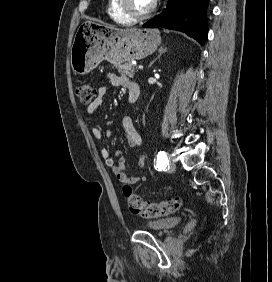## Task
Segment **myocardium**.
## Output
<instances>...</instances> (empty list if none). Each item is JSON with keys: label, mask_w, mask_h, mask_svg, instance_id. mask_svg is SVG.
<instances>
[{"label": "myocardium", "mask_w": 272, "mask_h": 282, "mask_svg": "<svg viewBox=\"0 0 272 282\" xmlns=\"http://www.w3.org/2000/svg\"><path fill=\"white\" fill-rule=\"evenodd\" d=\"M119 9L131 20H141L149 17L156 9L157 0H154L151 8L143 13L136 12L131 5L130 0H118Z\"/></svg>", "instance_id": "f54148a6"}]
</instances>
